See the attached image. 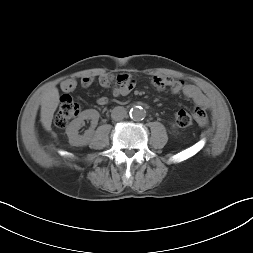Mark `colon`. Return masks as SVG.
I'll return each instance as SVG.
<instances>
[{
	"label": "colon",
	"instance_id": "obj_1",
	"mask_svg": "<svg viewBox=\"0 0 253 253\" xmlns=\"http://www.w3.org/2000/svg\"><path fill=\"white\" fill-rule=\"evenodd\" d=\"M79 111V104L71 96L63 95L60 98L59 108L54 117V124L60 128L65 127L71 119L79 114ZM174 119L176 124L182 128L190 127L193 124L192 115L185 110L176 111Z\"/></svg>",
	"mask_w": 253,
	"mask_h": 253
}]
</instances>
